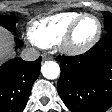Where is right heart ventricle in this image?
I'll return each instance as SVG.
<instances>
[{
  "mask_svg": "<svg viewBox=\"0 0 112 112\" xmlns=\"http://www.w3.org/2000/svg\"><path fill=\"white\" fill-rule=\"evenodd\" d=\"M81 14L80 12L67 11L41 18L31 25L28 33L29 39L40 47L55 46L60 43L70 25Z\"/></svg>",
  "mask_w": 112,
  "mask_h": 112,
  "instance_id": "obj_1",
  "label": "right heart ventricle"
}]
</instances>
